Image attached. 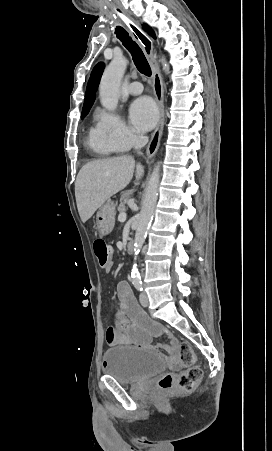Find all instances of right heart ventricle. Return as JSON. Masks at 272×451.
Instances as JSON below:
<instances>
[{"instance_id": "right-heart-ventricle-1", "label": "right heart ventricle", "mask_w": 272, "mask_h": 451, "mask_svg": "<svg viewBox=\"0 0 272 451\" xmlns=\"http://www.w3.org/2000/svg\"><path fill=\"white\" fill-rule=\"evenodd\" d=\"M89 144L96 152L103 155L112 154L118 148L115 143L101 133L98 127L91 130Z\"/></svg>"}]
</instances>
